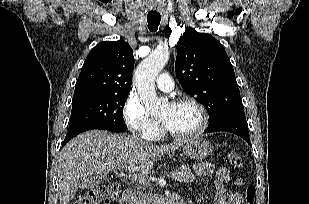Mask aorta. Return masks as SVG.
Segmentation results:
<instances>
[{
    "mask_svg": "<svg viewBox=\"0 0 309 204\" xmlns=\"http://www.w3.org/2000/svg\"><path fill=\"white\" fill-rule=\"evenodd\" d=\"M169 59L167 50H158L145 58L135 70V85L142 103L148 112L160 111L164 100L155 91V79Z\"/></svg>",
    "mask_w": 309,
    "mask_h": 204,
    "instance_id": "obj_1",
    "label": "aorta"
}]
</instances>
